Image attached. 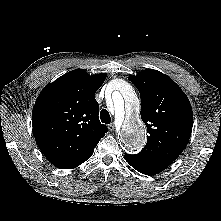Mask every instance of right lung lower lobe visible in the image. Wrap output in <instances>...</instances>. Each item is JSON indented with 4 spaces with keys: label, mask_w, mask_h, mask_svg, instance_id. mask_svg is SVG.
<instances>
[{
    "label": "right lung lower lobe",
    "mask_w": 221,
    "mask_h": 221,
    "mask_svg": "<svg viewBox=\"0 0 221 221\" xmlns=\"http://www.w3.org/2000/svg\"><path fill=\"white\" fill-rule=\"evenodd\" d=\"M92 154H90L89 156H87L86 158L82 159L81 161H78L76 162L75 164H73L70 168L68 169H71V168H75L77 166H79L80 164H82L83 162H85Z\"/></svg>",
    "instance_id": "1"
}]
</instances>
